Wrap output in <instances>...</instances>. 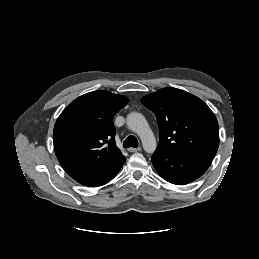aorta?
<instances>
[{
	"label": "aorta",
	"instance_id": "obj_1",
	"mask_svg": "<svg viewBox=\"0 0 259 259\" xmlns=\"http://www.w3.org/2000/svg\"><path fill=\"white\" fill-rule=\"evenodd\" d=\"M126 122L128 128L140 137L144 150L153 153L157 146L156 139L145 117L138 112H131L127 115Z\"/></svg>",
	"mask_w": 259,
	"mask_h": 259
}]
</instances>
